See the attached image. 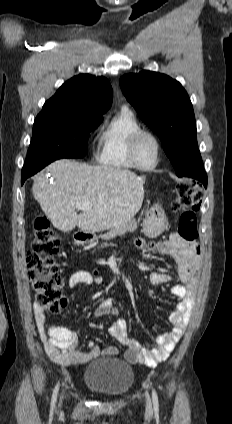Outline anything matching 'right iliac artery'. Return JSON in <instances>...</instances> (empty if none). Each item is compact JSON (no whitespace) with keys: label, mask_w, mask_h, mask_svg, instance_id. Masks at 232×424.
<instances>
[{"label":"right iliac artery","mask_w":232,"mask_h":424,"mask_svg":"<svg viewBox=\"0 0 232 424\" xmlns=\"http://www.w3.org/2000/svg\"><path fill=\"white\" fill-rule=\"evenodd\" d=\"M58 389H59V383L55 386V389L53 391V395H52V399H51V409L52 410L55 407L56 398H57V394H58Z\"/></svg>","instance_id":"1"}]
</instances>
